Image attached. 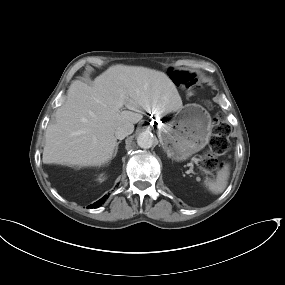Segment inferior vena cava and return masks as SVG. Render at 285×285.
Returning <instances> with one entry per match:
<instances>
[{
	"mask_svg": "<svg viewBox=\"0 0 285 285\" xmlns=\"http://www.w3.org/2000/svg\"><path fill=\"white\" fill-rule=\"evenodd\" d=\"M134 131V125L131 123H126L119 126L115 131V136L117 139H124L126 136L130 135Z\"/></svg>",
	"mask_w": 285,
	"mask_h": 285,
	"instance_id": "inferior-vena-cava-1",
	"label": "inferior vena cava"
}]
</instances>
